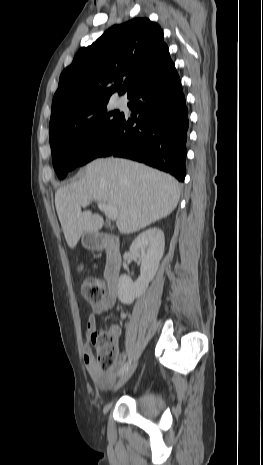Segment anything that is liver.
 I'll use <instances>...</instances> for the list:
<instances>
[{
	"label": "liver",
	"mask_w": 263,
	"mask_h": 465,
	"mask_svg": "<svg viewBox=\"0 0 263 465\" xmlns=\"http://www.w3.org/2000/svg\"><path fill=\"white\" fill-rule=\"evenodd\" d=\"M179 182L169 174L120 158L89 163L82 178L55 193V206L68 246L73 249L84 233H96L104 225L99 214L81 211L85 201H97L118 209L116 225L130 234L167 217L177 207Z\"/></svg>",
	"instance_id": "obj_1"
}]
</instances>
